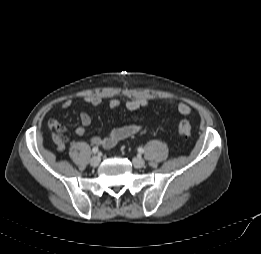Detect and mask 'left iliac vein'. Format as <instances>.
Segmentation results:
<instances>
[{
  "instance_id": "1",
  "label": "left iliac vein",
  "mask_w": 261,
  "mask_h": 254,
  "mask_svg": "<svg viewBox=\"0 0 261 254\" xmlns=\"http://www.w3.org/2000/svg\"><path fill=\"white\" fill-rule=\"evenodd\" d=\"M132 162H133L134 167L137 169H141L145 165V161L139 156L133 158Z\"/></svg>"
}]
</instances>
